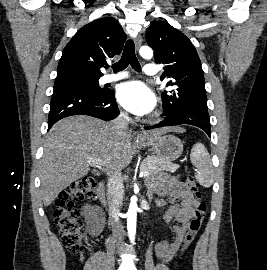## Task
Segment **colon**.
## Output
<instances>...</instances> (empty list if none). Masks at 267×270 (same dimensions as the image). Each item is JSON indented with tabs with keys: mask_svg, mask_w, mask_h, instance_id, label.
Segmentation results:
<instances>
[{
	"mask_svg": "<svg viewBox=\"0 0 267 270\" xmlns=\"http://www.w3.org/2000/svg\"><path fill=\"white\" fill-rule=\"evenodd\" d=\"M186 185L197 200L194 214L188 224L181 251L187 252L194 243L206 214V205L193 176L186 178ZM95 181L90 177L74 181L56 201L54 222L64 247L72 253L81 254L85 250L86 237L84 224L76 203L89 199L94 191Z\"/></svg>",
	"mask_w": 267,
	"mask_h": 270,
	"instance_id": "5ec220e1",
	"label": "colon"
}]
</instances>
